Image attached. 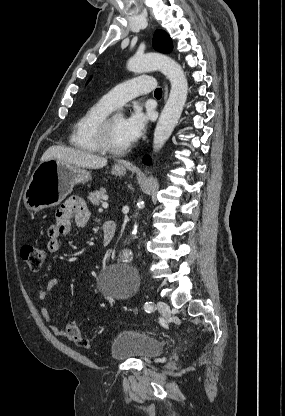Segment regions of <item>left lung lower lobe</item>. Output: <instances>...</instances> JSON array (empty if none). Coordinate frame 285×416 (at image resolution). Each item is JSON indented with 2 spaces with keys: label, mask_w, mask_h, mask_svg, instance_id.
I'll return each instance as SVG.
<instances>
[{
  "label": "left lung lower lobe",
  "mask_w": 285,
  "mask_h": 416,
  "mask_svg": "<svg viewBox=\"0 0 285 416\" xmlns=\"http://www.w3.org/2000/svg\"><path fill=\"white\" fill-rule=\"evenodd\" d=\"M143 162L145 164H149L150 163V158L148 156H145L144 159H143Z\"/></svg>",
  "instance_id": "left-lung-lower-lobe-1"
}]
</instances>
